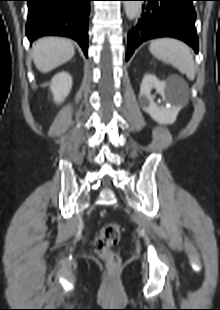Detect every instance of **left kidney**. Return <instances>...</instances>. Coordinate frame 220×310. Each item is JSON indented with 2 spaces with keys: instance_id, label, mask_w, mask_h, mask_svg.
I'll list each match as a JSON object with an SVG mask.
<instances>
[{
  "instance_id": "obj_1",
  "label": "left kidney",
  "mask_w": 220,
  "mask_h": 310,
  "mask_svg": "<svg viewBox=\"0 0 220 310\" xmlns=\"http://www.w3.org/2000/svg\"><path fill=\"white\" fill-rule=\"evenodd\" d=\"M154 88L156 92L165 99L166 83L159 81L157 77L152 74H146L140 87V102L143 110L160 124H173L179 109L173 106L164 107L157 105L154 101V95L151 94V90Z\"/></svg>"
}]
</instances>
